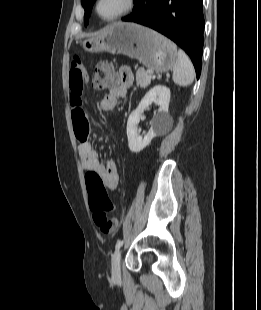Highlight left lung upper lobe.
Instances as JSON below:
<instances>
[{
	"label": "left lung upper lobe",
	"instance_id": "obj_1",
	"mask_svg": "<svg viewBox=\"0 0 261 310\" xmlns=\"http://www.w3.org/2000/svg\"><path fill=\"white\" fill-rule=\"evenodd\" d=\"M136 1L137 0H135V2ZM94 2L95 0H81L82 6L85 9L84 21L86 24H88V18L90 17L91 9L93 7Z\"/></svg>",
	"mask_w": 261,
	"mask_h": 310
}]
</instances>
